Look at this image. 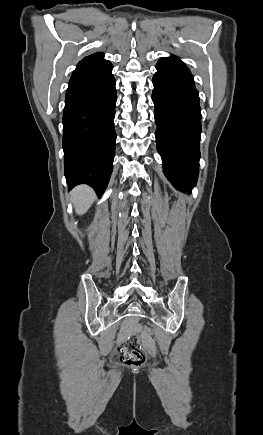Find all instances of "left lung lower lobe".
<instances>
[{"label":"left lung lower lobe","mask_w":263,"mask_h":435,"mask_svg":"<svg viewBox=\"0 0 263 435\" xmlns=\"http://www.w3.org/2000/svg\"><path fill=\"white\" fill-rule=\"evenodd\" d=\"M153 76L157 150L164 173L178 190L191 191L199 173L201 109L189 69L162 58Z\"/></svg>","instance_id":"0a47b994"}]
</instances>
